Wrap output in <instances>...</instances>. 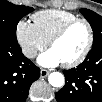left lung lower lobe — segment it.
<instances>
[{
    "instance_id": "left-lung-lower-lobe-1",
    "label": "left lung lower lobe",
    "mask_w": 102,
    "mask_h": 102,
    "mask_svg": "<svg viewBox=\"0 0 102 102\" xmlns=\"http://www.w3.org/2000/svg\"><path fill=\"white\" fill-rule=\"evenodd\" d=\"M58 102H102V45L94 46L77 68L64 71Z\"/></svg>"
}]
</instances>
